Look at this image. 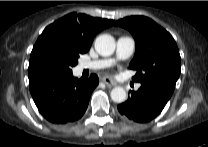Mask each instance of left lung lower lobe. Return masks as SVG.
Instances as JSON below:
<instances>
[{
	"instance_id": "left-lung-lower-lobe-1",
	"label": "left lung lower lobe",
	"mask_w": 208,
	"mask_h": 147,
	"mask_svg": "<svg viewBox=\"0 0 208 147\" xmlns=\"http://www.w3.org/2000/svg\"><path fill=\"white\" fill-rule=\"evenodd\" d=\"M174 89L159 81L142 82L141 87L122 104L120 114L131 121L146 123L154 119L165 107Z\"/></svg>"
}]
</instances>
